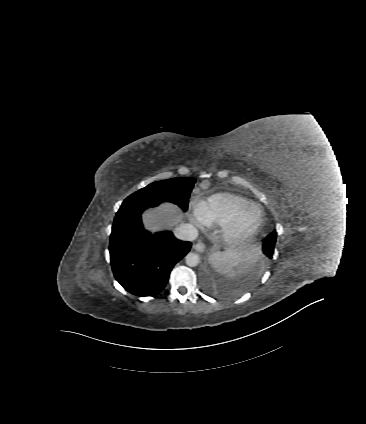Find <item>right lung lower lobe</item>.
Listing matches in <instances>:
<instances>
[{
  "label": "right lung lower lobe",
  "mask_w": 366,
  "mask_h": 424,
  "mask_svg": "<svg viewBox=\"0 0 366 424\" xmlns=\"http://www.w3.org/2000/svg\"><path fill=\"white\" fill-rule=\"evenodd\" d=\"M133 208L117 212L110 236V261L116 280L137 296H155L166 285L170 271L190 250L191 243L171 232L152 235L143 228L141 213Z\"/></svg>",
  "instance_id": "obj_1"
}]
</instances>
